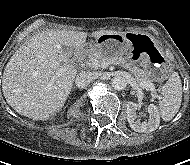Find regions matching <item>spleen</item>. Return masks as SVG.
I'll return each instance as SVG.
<instances>
[{
  "label": "spleen",
  "instance_id": "spleen-1",
  "mask_svg": "<svg viewBox=\"0 0 190 165\" xmlns=\"http://www.w3.org/2000/svg\"><path fill=\"white\" fill-rule=\"evenodd\" d=\"M158 107L164 121H170L178 112L182 101V83L177 72L172 73L162 87Z\"/></svg>",
  "mask_w": 190,
  "mask_h": 165
}]
</instances>
